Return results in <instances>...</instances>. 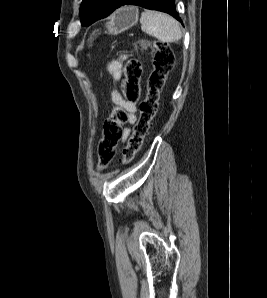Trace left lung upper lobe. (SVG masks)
<instances>
[{
	"label": "left lung upper lobe",
	"mask_w": 267,
	"mask_h": 298,
	"mask_svg": "<svg viewBox=\"0 0 267 298\" xmlns=\"http://www.w3.org/2000/svg\"><path fill=\"white\" fill-rule=\"evenodd\" d=\"M114 2L115 0H83L79 12L82 25L86 26L96 15L109 11Z\"/></svg>",
	"instance_id": "1"
}]
</instances>
